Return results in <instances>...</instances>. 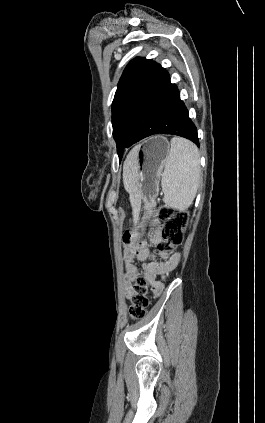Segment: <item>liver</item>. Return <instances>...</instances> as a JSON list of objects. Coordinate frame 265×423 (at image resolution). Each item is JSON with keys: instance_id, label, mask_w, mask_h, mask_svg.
<instances>
[{"instance_id": "liver-1", "label": "liver", "mask_w": 265, "mask_h": 423, "mask_svg": "<svg viewBox=\"0 0 265 423\" xmlns=\"http://www.w3.org/2000/svg\"><path fill=\"white\" fill-rule=\"evenodd\" d=\"M137 167L133 151L128 155L123 167V181L126 185L136 183Z\"/></svg>"}]
</instances>
